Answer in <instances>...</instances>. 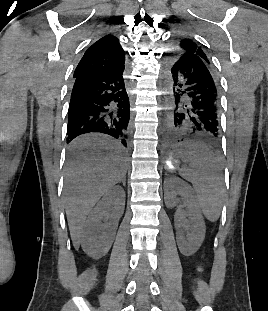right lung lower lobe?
Wrapping results in <instances>:
<instances>
[{
    "instance_id": "1",
    "label": "right lung lower lobe",
    "mask_w": 268,
    "mask_h": 311,
    "mask_svg": "<svg viewBox=\"0 0 268 311\" xmlns=\"http://www.w3.org/2000/svg\"><path fill=\"white\" fill-rule=\"evenodd\" d=\"M124 68L74 77L67 143L79 135L96 132L110 135L127 147L131 123Z\"/></svg>"
}]
</instances>
